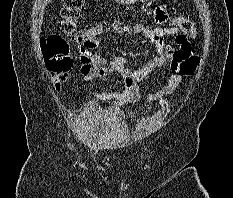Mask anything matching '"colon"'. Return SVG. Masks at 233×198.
<instances>
[{"mask_svg": "<svg viewBox=\"0 0 233 198\" xmlns=\"http://www.w3.org/2000/svg\"><path fill=\"white\" fill-rule=\"evenodd\" d=\"M83 11L84 0H64L63 19L58 24V30L81 47L92 48L96 44L99 29L79 28L78 23ZM172 25L190 36H194L196 33L193 23L184 17H175L172 19ZM40 47L53 82L57 88H60L61 84L68 79L72 66L68 44L59 36L48 35L41 38ZM199 62L200 58L191 55L190 52L177 53L175 56V67L181 75L192 74Z\"/></svg>", "mask_w": 233, "mask_h": 198, "instance_id": "5ec220e1", "label": "colon"}]
</instances>
